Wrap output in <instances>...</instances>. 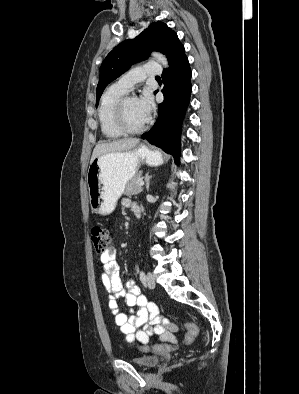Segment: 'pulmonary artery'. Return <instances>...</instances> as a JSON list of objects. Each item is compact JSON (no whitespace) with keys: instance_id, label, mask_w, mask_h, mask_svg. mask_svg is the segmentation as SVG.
Instances as JSON below:
<instances>
[{"instance_id":"1","label":"pulmonary artery","mask_w":299,"mask_h":394,"mask_svg":"<svg viewBox=\"0 0 299 394\" xmlns=\"http://www.w3.org/2000/svg\"><path fill=\"white\" fill-rule=\"evenodd\" d=\"M162 73V69L157 64H146L143 67H137L123 74L116 84L125 91L132 89L134 85L142 82L147 77L158 76Z\"/></svg>"}]
</instances>
